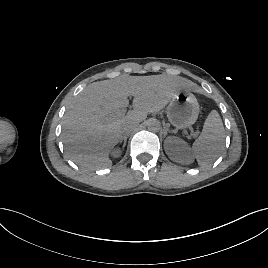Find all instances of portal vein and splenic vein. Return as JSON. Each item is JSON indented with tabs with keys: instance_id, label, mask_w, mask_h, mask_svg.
Listing matches in <instances>:
<instances>
[{
	"instance_id": "1",
	"label": "portal vein and splenic vein",
	"mask_w": 268,
	"mask_h": 268,
	"mask_svg": "<svg viewBox=\"0 0 268 268\" xmlns=\"http://www.w3.org/2000/svg\"><path fill=\"white\" fill-rule=\"evenodd\" d=\"M125 112H126V110H121L116 115L115 114L111 115L110 118H116L117 116H122L125 114Z\"/></svg>"
}]
</instances>
